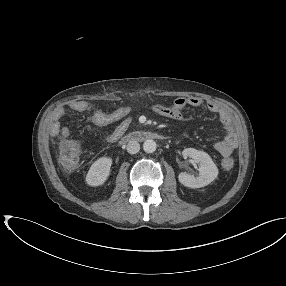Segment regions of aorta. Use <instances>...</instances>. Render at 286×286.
Returning a JSON list of instances; mask_svg holds the SVG:
<instances>
[{
  "label": "aorta",
  "instance_id": "1",
  "mask_svg": "<svg viewBox=\"0 0 286 286\" xmlns=\"http://www.w3.org/2000/svg\"><path fill=\"white\" fill-rule=\"evenodd\" d=\"M156 148H157V144L152 139L145 140L143 143V150L146 153H153L156 151Z\"/></svg>",
  "mask_w": 286,
  "mask_h": 286
}]
</instances>
